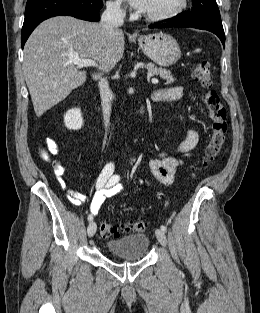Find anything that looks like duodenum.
I'll use <instances>...</instances> for the list:
<instances>
[{
    "instance_id": "410a0bca",
    "label": "duodenum",
    "mask_w": 260,
    "mask_h": 313,
    "mask_svg": "<svg viewBox=\"0 0 260 313\" xmlns=\"http://www.w3.org/2000/svg\"><path fill=\"white\" fill-rule=\"evenodd\" d=\"M145 109H146L145 106H142V107L140 108V110H139V115H138L139 121L143 118L144 113H145Z\"/></svg>"
}]
</instances>
